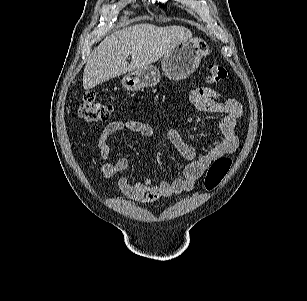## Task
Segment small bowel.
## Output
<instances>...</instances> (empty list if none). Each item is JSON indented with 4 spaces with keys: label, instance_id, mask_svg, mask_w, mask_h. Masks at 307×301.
<instances>
[{
    "label": "small bowel",
    "instance_id": "c3829d8e",
    "mask_svg": "<svg viewBox=\"0 0 307 301\" xmlns=\"http://www.w3.org/2000/svg\"><path fill=\"white\" fill-rule=\"evenodd\" d=\"M188 98L198 113L223 115L219 122L221 140L208 152L200 154L179 132L174 129L168 130L167 139L180 156L188 161V164L175 179L171 181L162 180L157 184L150 178H146L143 181H131L127 177H120L118 185L126 198L141 201L142 203H152L160 198L191 191L196 182L217 158L237 151L239 138L235 127L238 119L243 114L242 104L234 99H221L206 87L195 88L190 92ZM121 131L135 133L145 138H151L155 135V130L152 126L138 120H116L107 124L98 141L99 151L105 159L99 165L104 178H110L128 167L126 158H120L116 161L109 159L111 152L110 137Z\"/></svg>",
    "mask_w": 307,
    "mask_h": 301
}]
</instances>
